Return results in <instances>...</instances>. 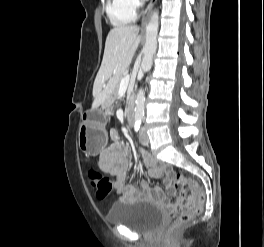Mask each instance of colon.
Wrapping results in <instances>:
<instances>
[{
  "label": "colon",
  "mask_w": 264,
  "mask_h": 247,
  "mask_svg": "<svg viewBox=\"0 0 264 247\" xmlns=\"http://www.w3.org/2000/svg\"><path fill=\"white\" fill-rule=\"evenodd\" d=\"M87 176L94 188L95 197L98 200L106 199L111 191L109 180L93 169L88 170ZM173 184L182 195L172 207L171 215L174 220L169 226V232H173L182 225L187 224L193 215L201 211L205 202V195L198 181L194 178L185 176L182 173H176L173 177ZM187 190L192 192L188 197L183 195Z\"/></svg>",
  "instance_id": "colon-1"
}]
</instances>
